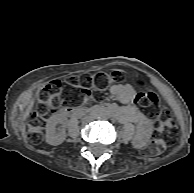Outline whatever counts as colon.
Masks as SVG:
<instances>
[{
	"label": "colon",
	"instance_id": "1",
	"mask_svg": "<svg viewBox=\"0 0 194 193\" xmlns=\"http://www.w3.org/2000/svg\"><path fill=\"white\" fill-rule=\"evenodd\" d=\"M121 76L122 72L120 70H114L110 75L98 71L92 75L71 77L65 85L59 80L48 82L30 115L28 123V138L30 141L33 143L41 141L45 120L58 106L81 98L100 100L107 87L109 77L118 79ZM63 89L66 92V98H62ZM136 102L144 109L147 117L158 119L155 138L143 150L145 156H157L164 151L167 143L175 139L176 128L169 116V111L161 104L156 93H140L136 97Z\"/></svg>",
	"mask_w": 194,
	"mask_h": 193
}]
</instances>
